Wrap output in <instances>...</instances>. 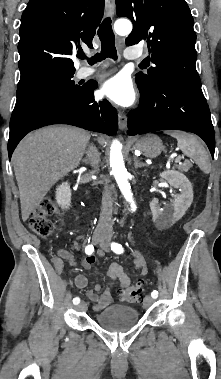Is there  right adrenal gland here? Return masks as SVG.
Listing matches in <instances>:
<instances>
[{
	"label": "right adrenal gland",
	"mask_w": 221,
	"mask_h": 379,
	"mask_svg": "<svg viewBox=\"0 0 221 379\" xmlns=\"http://www.w3.org/2000/svg\"><path fill=\"white\" fill-rule=\"evenodd\" d=\"M82 162H83L84 164H89V161H88L87 158L83 159Z\"/></svg>",
	"instance_id": "right-adrenal-gland-1"
}]
</instances>
